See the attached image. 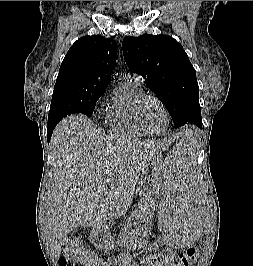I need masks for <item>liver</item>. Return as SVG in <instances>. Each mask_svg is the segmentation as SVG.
<instances>
[{
	"instance_id": "obj_1",
	"label": "liver",
	"mask_w": 253,
	"mask_h": 266,
	"mask_svg": "<svg viewBox=\"0 0 253 266\" xmlns=\"http://www.w3.org/2000/svg\"><path fill=\"white\" fill-rule=\"evenodd\" d=\"M50 144L57 168L47 200V227L56 255L77 227L98 229L125 215L147 162L169 146L165 140L104 135L81 114L64 118Z\"/></svg>"
}]
</instances>
